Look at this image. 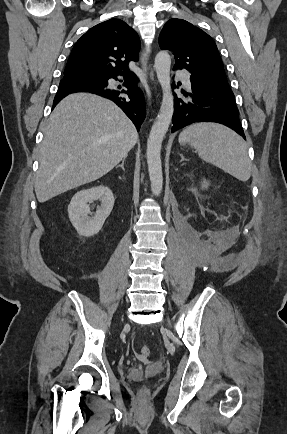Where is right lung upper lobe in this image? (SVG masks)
<instances>
[{
	"label": "right lung upper lobe",
	"mask_w": 287,
	"mask_h": 434,
	"mask_svg": "<svg viewBox=\"0 0 287 434\" xmlns=\"http://www.w3.org/2000/svg\"><path fill=\"white\" fill-rule=\"evenodd\" d=\"M139 49L138 34L124 21L109 19L99 23L74 45L62 81L82 82L68 79L69 75L128 72V63L138 60Z\"/></svg>",
	"instance_id": "right-lung-upper-lobe-1"
}]
</instances>
